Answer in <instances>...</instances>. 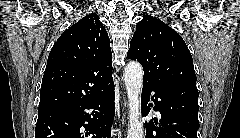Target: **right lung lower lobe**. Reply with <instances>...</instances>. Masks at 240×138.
Masks as SVG:
<instances>
[{
	"mask_svg": "<svg viewBox=\"0 0 240 138\" xmlns=\"http://www.w3.org/2000/svg\"><path fill=\"white\" fill-rule=\"evenodd\" d=\"M114 95L112 79L84 98L39 111L35 138H110Z\"/></svg>",
	"mask_w": 240,
	"mask_h": 138,
	"instance_id": "1",
	"label": "right lung lower lobe"
}]
</instances>
